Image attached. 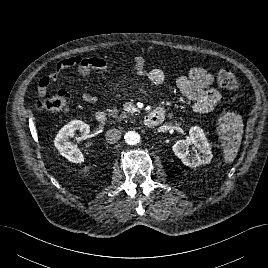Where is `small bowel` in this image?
I'll use <instances>...</instances> for the list:
<instances>
[{
    "mask_svg": "<svg viewBox=\"0 0 268 268\" xmlns=\"http://www.w3.org/2000/svg\"><path fill=\"white\" fill-rule=\"evenodd\" d=\"M147 59L141 55L135 56L133 59V75L136 77H146L154 85L164 83L166 76L162 69L146 68ZM109 62L103 57L84 58L81 56H73L64 58L59 61L54 70L48 75L41 78L38 82V94L44 96L51 82L70 69H76L79 75L83 77L89 76L93 72L107 71ZM213 81L212 75L202 68H191L187 75H181L176 79V85L180 92L192 102V107L196 112L206 113L211 111L219 102L218 91L211 86ZM43 88V91L40 90ZM83 101L93 103L96 101L95 94L86 92L82 95ZM157 110H162L158 107Z\"/></svg>",
    "mask_w": 268,
    "mask_h": 268,
    "instance_id": "1",
    "label": "small bowel"
}]
</instances>
